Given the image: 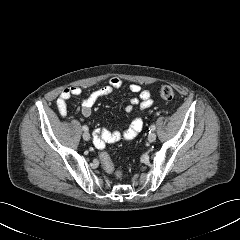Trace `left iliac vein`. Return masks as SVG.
Instances as JSON below:
<instances>
[{
  "label": "left iliac vein",
  "instance_id": "left-iliac-vein-1",
  "mask_svg": "<svg viewBox=\"0 0 240 240\" xmlns=\"http://www.w3.org/2000/svg\"><path fill=\"white\" fill-rule=\"evenodd\" d=\"M156 140V134L154 132L149 133L148 135V141L154 142Z\"/></svg>",
  "mask_w": 240,
  "mask_h": 240
}]
</instances>
